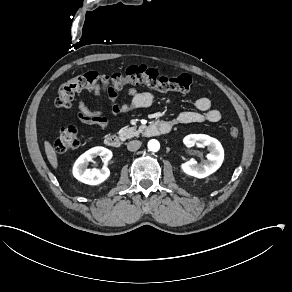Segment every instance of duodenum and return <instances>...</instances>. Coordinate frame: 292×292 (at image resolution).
<instances>
[{"label": "duodenum", "instance_id": "obj_1", "mask_svg": "<svg viewBox=\"0 0 292 292\" xmlns=\"http://www.w3.org/2000/svg\"><path fill=\"white\" fill-rule=\"evenodd\" d=\"M172 130V124L168 121H157L149 124L144 128L143 135L145 137H152L157 135L168 134ZM105 143L111 148H119L121 146V140L118 135L110 134L105 138Z\"/></svg>", "mask_w": 292, "mask_h": 292}]
</instances>
